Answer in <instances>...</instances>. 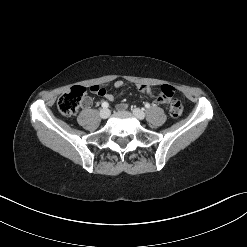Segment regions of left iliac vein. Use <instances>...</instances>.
<instances>
[{"label": "left iliac vein", "mask_w": 247, "mask_h": 247, "mask_svg": "<svg viewBox=\"0 0 247 247\" xmlns=\"http://www.w3.org/2000/svg\"><path fill=\"white\" fill-rule=\"evenodd\" d=\"M133 114L135 115L136 118H138L139 120H143L145 118V113L143 110L139 109V108H134L133 109Z\"/></svg>", "instance_id": "1"}]
</instances>
